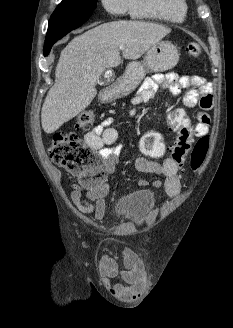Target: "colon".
<instances>
[{
  "instance_id": "obj_1",
  "label": "colon",
  "mask_w": 233,
  "mask_h": 328,
  "mask_svg": "<svg viewBox=\"0 0 233 328\" xmlns=\"http://www.w3.org/2000/svg\"><path fill=\"white\" fill-rule=\"evenodd\" d=\"M187 52L192 57H199L201 46L197 43H190ZM166 119L168 126L175 134L174 143L168 147L161 134L148 131L140 140L141 152L150 158H159L168 154L179 168L189 163L192 170H198L206 158L209 137H200L192 146L193 125L182 109L171 110ZM94 120V111L86 109L75 117V126L77 129L87 130L92 127ZM48 152L55 164L75 175L84 186H94L101 183L105 177L104 168L95 151L74 132L53 133Z\"/></svg>"
}]
</instances>
